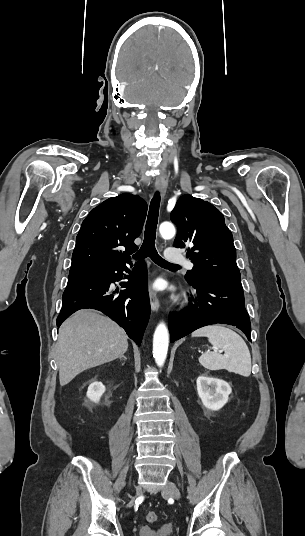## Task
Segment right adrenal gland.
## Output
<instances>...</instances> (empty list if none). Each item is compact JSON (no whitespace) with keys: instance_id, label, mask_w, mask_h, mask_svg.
I'll list each match as a JSON object with an SVG mask.
<instances>
[{"instance_id":"2a0ac1e0","label":"right adrenal gland","mask_w":305,"mask_h":536,"mask_svg":"<svg viewBox=\"0 0 305 536\" xmlns=\"http://www.w3.org/2000/svg\"><path fill=\"white\" fill-rule=\"evenodd\" d=\"M122 358H124V360H127V358H125V356H121V358H119V360H122Z\"/></svg>"}]
</instances>
